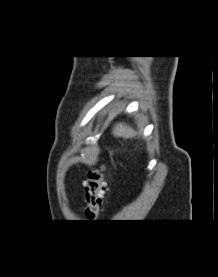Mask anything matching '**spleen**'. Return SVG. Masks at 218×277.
Segmentation results:
<instances>
[{"label": "spleen", "mask_w": 218, "mask_h": 277, "mask_svg": "<svg viewBox=\"0 0 218 277\" xmlns=\"http://www.w3.org/2000/svg\"><path fill=\"white\" fill-rule=\"evenodd\" d=\"M112 133L115 137H122L125 139L133 138L135 136L133 128L124 123L116 124Z\"/></svg>", "instance_id": "3e777b00"}]
</instances>
